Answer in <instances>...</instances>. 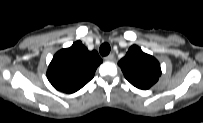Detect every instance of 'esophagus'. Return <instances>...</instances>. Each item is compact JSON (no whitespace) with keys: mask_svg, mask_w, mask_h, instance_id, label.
<instances>
[{"mask_svg":"<svg viewBox=\"0 0 203 123\" xmlns=\"http://www.w3.org/2000/svg\"><path fill=\"white\" fill-rule=\"evenodd\" d=\"M106 61H113L115 59V56L114 54H109L108 56H106L104 58Z\"/></svg>","mask_w":203,"mask_h":123,"instance_id":"esophagus-1","label":"esophagus"}]
</instances>
